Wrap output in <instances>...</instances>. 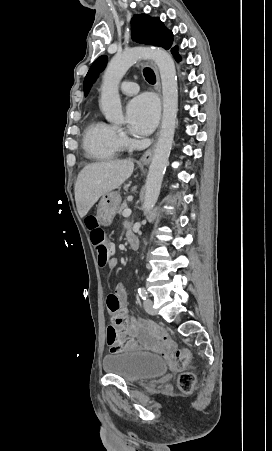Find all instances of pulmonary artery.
<instances>
[{
  "instance_id": "1",
  "label": "pulmonary artery",
  "mask_w": 272,
  "mask_h": 451,
  "mask_svg": "<svg viewBox=\"0 0 272 451\" xmlns=\"http://www.w3.org/2000/svg\"><path fill=\"white\" fill-rule=\"evenodd\" d=\"M120 89L126 95H134L139 91V86L134 82L124 81L122 82Z\"/></svg>"
}]
</instances>
